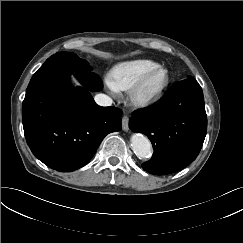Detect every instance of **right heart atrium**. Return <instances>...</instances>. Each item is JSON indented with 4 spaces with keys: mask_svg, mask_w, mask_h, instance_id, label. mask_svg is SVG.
<instances>
[{
    "mask_svg": "<svg viewBox=\"0 0 243 243\" xmlns=\"http://www.w3.org/2000/svg\"><path fill=\"white\" fill-rule=\"evenodd\" d=\"M109 86H110L111 90L115 91V89L111 85H109Z\"/></svg>",
    "mask_w": 243,
    "mask_h": 243,
    "instance_id": "obj_1",
    "label": "right heart atrium"
}]
</instances>
